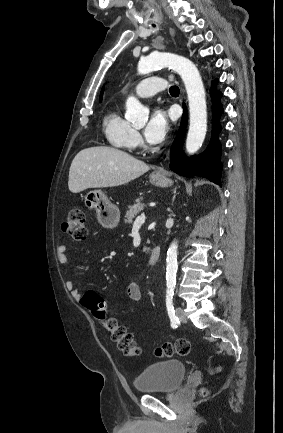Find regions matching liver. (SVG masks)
Segmentation results:
<instances>
[{
  "instance_id": "liver-1",
  "label": "liver",
  "mask_w": 283,
  "mask_h": 433,
  "mask_svg": "<svg viewBox=\"0 0 283 433\" xmlns=\"http://www.w3.org/2000/svg\"><path fill=\"white\" fill-rule=\"evenodd\" d=\"M150 166L128 152L111 146L83 148L73 158L68 186L71 192H81L96 186H118L138 178Z\"/></svg>"
}]
</instances>
